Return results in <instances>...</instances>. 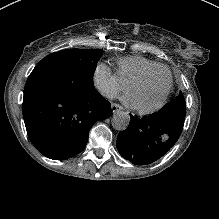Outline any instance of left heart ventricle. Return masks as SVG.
I'll return each instance as SVG.
<instances>
[{
	"label": "left heart ventricle",
	"instance_id": "b2bd125f",
	"mask_svg": "<svg viewBox=\"0 0 219 219\" xmlns=\"http://www.w3.org/2000/svg\"><path fill=\"white\" fill-rule=\"evenodd\" d=\"M169 82L167 70H162L156 76L136 85L132 91L135 103L151 105L159 100Z\"/></svg>",
	"mask_w": 219,
	"mask_h": 219
}]
</instances>
